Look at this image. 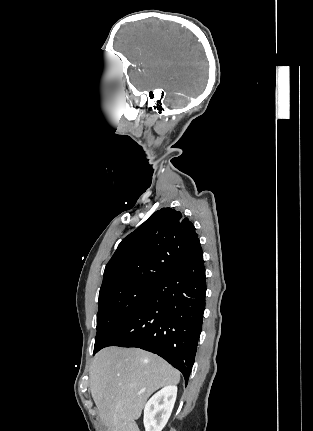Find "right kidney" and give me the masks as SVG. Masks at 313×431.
I'll return each mask as SVG.
<instances>
[{"label": "right kidney", "instance_id": "ca27d5eb", "mask_svg": "<svg viewBox=\"0 0 313 431\" xmlns=\"http://www.w3.org/2000/svg\"><path fill=\"white\" fill-rule=\"evenodd\" d=\"M177 396V387L169 385L154 394L144 408L145 431H162L167 424Z\"/></svg>", "mask_w": 313, "mask_h": 431}]
</instances>
